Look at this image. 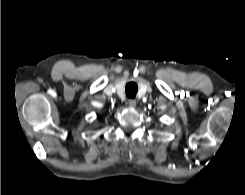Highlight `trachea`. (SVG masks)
Masks as SVG:
<instances>
[{
  "label": "trachea",
  "mask_w": 245,
  "mask_h": 195,
  "mask_svg": "<svg viewBox=\"0 0 245 195\" xmlns=\"http://www.w3.org/2000/svg\"><path fill=\"white\" fill-rule=\"evenodd\" d=\"M138 91V86L135 82H129L126 84L125 92L128 98H135Z\"/></svg>",
  "instance_id": "obj_1"
}]
</instances>
